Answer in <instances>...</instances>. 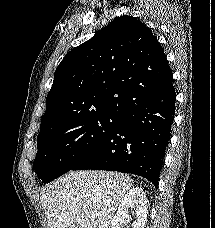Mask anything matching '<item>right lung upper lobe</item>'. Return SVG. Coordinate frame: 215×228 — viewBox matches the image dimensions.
I'll use <instances>...</instances> for the list:
<instances>
[{"label": "right lung upper lobe", "mask_w": 215, "mask_h": 228, "mask_svg": "<svg viewBox=\"0 0 215 228\" xmlns=\"http://www.w3.org/2000/svg\"><path fill=\"white\" fill-rule=\"evenodd\" d=\"M172 76L149 28L133 16H120L61 61L40 130L102 113L120 115L162 92Z\"/></svg>", "instance_id": "cb5924a9"}]
</instances>
